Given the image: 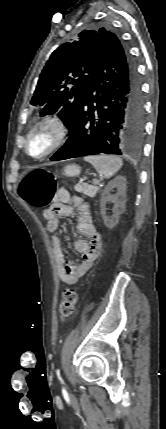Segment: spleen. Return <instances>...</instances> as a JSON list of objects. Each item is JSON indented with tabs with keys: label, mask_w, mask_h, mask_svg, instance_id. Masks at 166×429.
Listing matches in <instances>:
<instances>
[{
	"label": "spleen",
	"mask_w": 166,
	"mask_h": 429,
	"mask_svg": "<svg viewBox=\"0 0 166 429\" xmlns=\"http://www.w3.org/2000/svg\"><path fill=\"white\" fill-rule=\"evenodd\" d=\"M84 160L92 164L104 178L112 177L123 165L122 159L115 155H91Z\"/></svg>",
	"instance_id": "1"
}]
</instances>
